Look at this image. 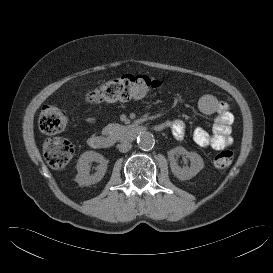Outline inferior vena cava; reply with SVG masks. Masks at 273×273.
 I'll use <instances>...</instances> for the list:
<instances>
[{
	"instance_id": "inferior-vena-cava-1",
	"label": "inferior vena cava",
	"mask_w": 273,
	"mask_h": 273,
	"mask_svg": "<svg viewBox=\"0 0 273 273\" xmlns=\"http://www.w3.org/2000/svg\"><path fill=\"white\" fill-rule=\"evenodd\" d=\"M131 147H132V144L127 141H124L118 145L119 151L122 153L128 152L131 149Z\"/></svg>"
}]
</instances>
